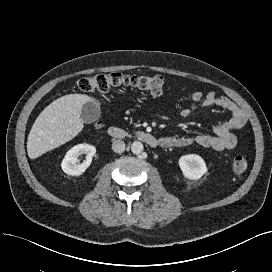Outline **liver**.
<instances>
[{
  "label": "liver",
  "mask_w": 272,
  "mask_h": 272,
  "mask_svg": "<svg viewBox=\"0 0 272 272\" xmlns=\"http://www.w3.org/2000/svg\"><path fill=\"white\" fill-rule=\"evenodd\" d=\"M99 102L85 94H68L49 104L35 120L27 141V152L35 159L72 140L83 129L81 110L85 103Z\"/></svg>",
  "instance_id": "1"
}]
</instances>
